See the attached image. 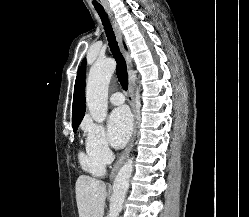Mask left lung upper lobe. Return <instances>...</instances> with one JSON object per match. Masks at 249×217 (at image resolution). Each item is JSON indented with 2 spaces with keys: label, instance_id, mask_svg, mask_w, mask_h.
Wrapping results in <instances>:
<instances>
[{
  "label": "left lung upper lobe",
  "instance_id": "1",
  "mask_svg": "<svg viewBox=\"0 0 249 217\" xmlns=\"http://www.w3.org/2000/svg\"><path fill=\"white\" fill-rule=\"evenodd\" d=\"M82 70L85 73V71H86V60L85 59L82 62Z\"/></svg>",
  "mask_w": 249,
  "mask_h": 217
}]
</instances>
